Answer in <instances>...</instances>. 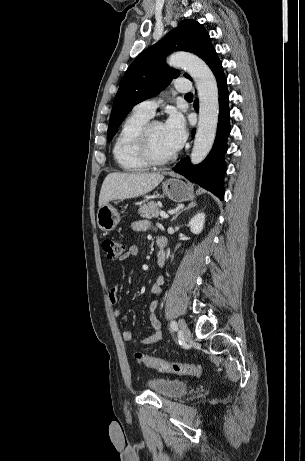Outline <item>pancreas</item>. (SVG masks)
Segmentation results:
<instances>
[{
    "mask_svg": "<svg viewBox=\"0 0 305 461\" xmlns=\"http://www.w3.org/2000/svg\"><path fill=\"white\" fill-rule=\"evenodd\" d=\"M161 207L157 202L150 201L147 204H142L138 209V213L147 219L155 218L158 216Z\"/></svg>",
    "mask_w": 305,
    "mask_h": 461,
    "instance_id": "obj_1",
    "label": "pancreas"
}]
</instances>
